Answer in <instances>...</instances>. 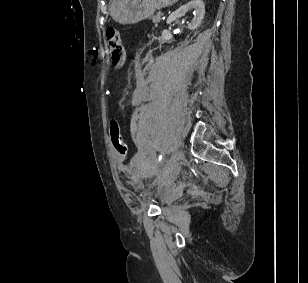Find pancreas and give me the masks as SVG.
I'll return each mask as SVG.
<instances>
[{
  "mask_svg": "<svg viewBox=\"0 0 308 283\" xmlns=\"http://www.w3.org/2000/svg\"><path fill=\"white\" fill-rule=\"evenodd\" d=\"M151 20L153 23H155V26H158V23L160 22V15L157 13L156 15L151 17Z\"/></svg>",
  "mask_w": 308,
  "mask_h": 283,
  "instance_id": "pancreas-1",
  "label": "pancreas"
}]
</instances>
